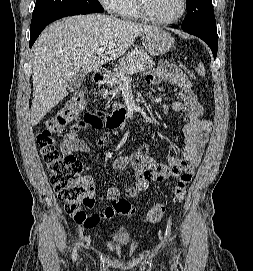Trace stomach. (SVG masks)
<instances>
[{
	"instance_id": "0dacf381",
	"label": "stomach",
	"mask_w": 253,
	"mask_h": 271,
	"mask_svg": "<svg viewBox=\"0 0 253 271\" xmlns=\"http://www.w3.org/2000/svg\"><path fill=\"white\" fill-rule=\"evenodd\" d=\"M143 44L148 53L153 56H161L174 46V39L170 33L157 28L145 33Z\"/></svg>"
}]
</instances>
